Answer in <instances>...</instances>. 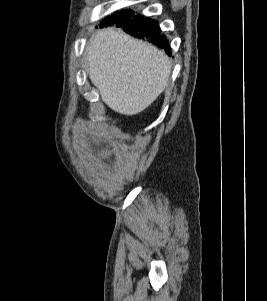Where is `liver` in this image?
<instances>
[{"mask_svg": "<svg viewBox=\"0 0 267 301\" xmlns=\"http://www.w3.org/2000/svg\"><path fill=\"white\" fill-rule=\"evenodd\" d=\"M86 61L103 102L123 115H136L151 105L167 87L171 73L163 51L112 28L92 37Z\"/></svg>", "mask_w": 267, "mask_h": 301, "instance_id": "1", "label": "liver"}]
</instances>
